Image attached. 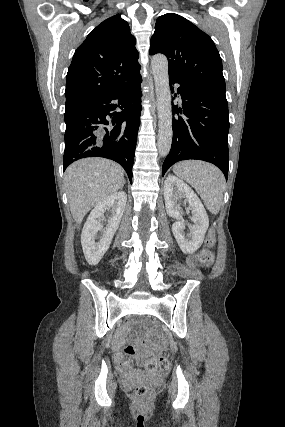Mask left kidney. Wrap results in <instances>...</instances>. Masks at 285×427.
<instances>
[{"label":"left kidney","instance_id":"5707ae66","mask_svg":"<svg viewBox=\"0 0 285 427\" xmlns=\"http://www.w3.org/2000/svg\"><path fill=\"white\" fill-rule=\"evenodd\" d=\"M180 198L186 199L188 209L192 212L194 225L190 234L184 233L185 224L177 204ZM164 199L167 214L177 220L172 225V232L180 249L186 254L194 253L202 245L209 226L208 215L202 202L185 182L173 175H169L165 180Z\"/></svg>","mask_w":285,"mask_h":427}]
</instances>
